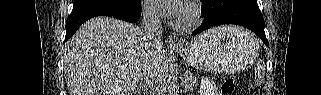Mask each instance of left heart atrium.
Here are the masks:
<instances>
[{
	"label": "left heart atrium",
	"instance_id": "left-heart-atrium-1",
	"mask_svg": "<svg viewBox=\"0 0 321 95\" xmlns=\"http://www.w3.org/2000/svg\"><path fill=\"white\" fill-rule=\"evenodd\" d=\"M152 3L161 14L169 17L180 16L185 8L183 0H152Z\"/></svg>",
	"mask_w": 321,
	"mask_h": 95
}]
</instances>
